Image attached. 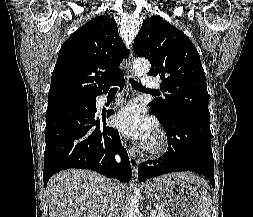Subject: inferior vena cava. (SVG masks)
Wrapping results in <instances>:
<instances>
[{
  "mask_svg": "<svg viewBox=\"0 0 253 217\" xmlns=\"http://www.w3.org/2000/svg\"><path fill=\"white\" fill-rule=\"evenodd\" d=\"M112 209L108 217H116L118 214V208L121 207V200L123 199V189L119 182H114L112 185Z\"/></svg>",
  "mask_w": 253,
  "mask_h": 217,
  "instance_id": "obj_1",
  "label": "inferior vena cava"
}]
</instances>
